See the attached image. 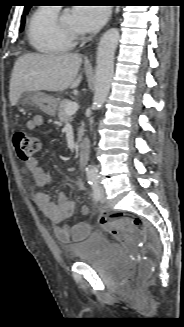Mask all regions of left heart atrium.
Returning a JSON list of instances; mask_svg holds the SVG:
<instances>
[{
  "label": "left heart atrium",
  "mask_w": 184,
  "mask_h": 327,
  "mask_svg": "<svg viewBox=\"0 0 184 327\" xmlns=\"http://www.w3.org/2000/svg\"><path fill=\"white\" fill-rule=\"evenodd\" d=\"M77 23V29L81 32H95L106 22L109 11L99 5L79 6L73 12Z\"/></svg>",
  "instance_id": "obj_1"
}]
</instances>
